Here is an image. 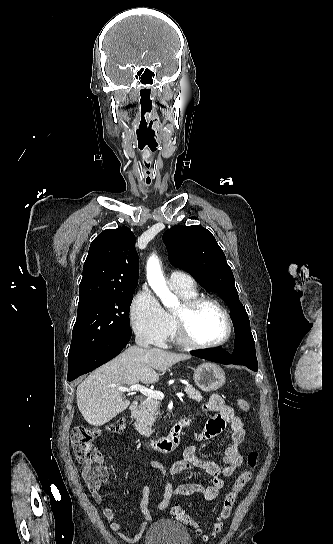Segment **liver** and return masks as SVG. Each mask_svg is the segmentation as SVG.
<instances>
[{
  "label": "liver",
  "instance_id": "6515ba94",
  "mask_svg": "<svg viewBox=\"0 0 333 544\" xmlns=\"http://www.w3.org/2000/svg\"><path fill=\"white\" fill-rule=\"evenodd\" d=\"M159 348H127L113 360L93 371L76 391L78 408L92 426H102L126 410L129 400H123L118 386L138 382L153 384L159 381V373L172 365L190 359Z\"/></svg>",
  "mask_w": 333,
  "mask_h": 544
}]
</instances>
